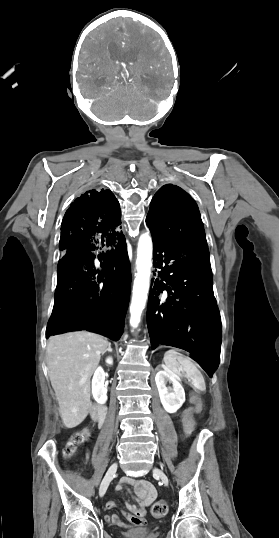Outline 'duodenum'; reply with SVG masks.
<instances>
[{
    "label": "duodenum",
    "instance_id": "duodenum-1",
    "mask_svg": "<svg viewBox=\"0 0 279 538\" xmlns=\"http://www.w3.org/2000/svg\"><path fill=\"white\" fill-rule=\"evenodd\" d=\"M91 409V417L95 423V428L102 429L106 422L104 417H106L105 410L107 409V406L103 404V402H95L92 404Z\"/></svg>",
    "mask_w": 279,
    "mask_h": 538
}]
</instances>
